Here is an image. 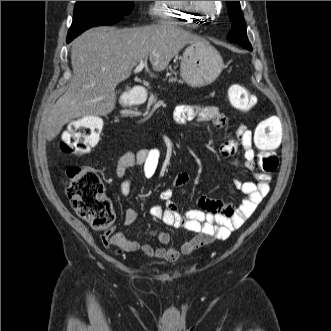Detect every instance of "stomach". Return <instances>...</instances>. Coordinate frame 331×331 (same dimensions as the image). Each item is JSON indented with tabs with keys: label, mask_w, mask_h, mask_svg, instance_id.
<instances>
[{
	"label": "stomach",
	"mask_w": 331,
	"mask_h": 331,
	"mask_svg": "<svg viewBox=\"0 0 331 331\" xmlns=\"http://www.w3.org/2000/svg\"><path fill=\"white\" fill-rule=\"evenodd\" d=\"M223 59L219 52L206 40L188 45L180 63L183 80L192 87L212 83L223 69Z\"/></svg>",
	"instance_id": "stomach-1"
}]
</instances>
